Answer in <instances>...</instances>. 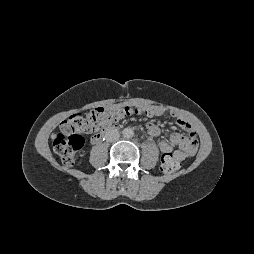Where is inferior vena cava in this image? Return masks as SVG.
<instances>
[{
    "mask_svg": "<svg viewBox=\"0 0 254 254\" xmlns=\"http://www.w3.org/2000/svg\"><path fill=\"white\" fill-rule=\"evenodd\" d=\"M119 137H120L119 132L115 130H108L105 133V139L108 142H115L119 139Z\"/></svg>",
    "mask_w": 254,
    "mask_h": 254,
    "instance_id": "obj_1",
    "label": "inferior vena cava"
}]
</instances>
